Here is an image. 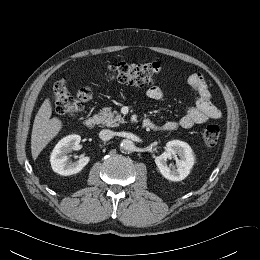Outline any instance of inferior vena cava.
<instances>
[{
	"instance_id": "1",
	"label": "inferior vena cava",
	"mask_w": 260,
	"mask_h": 260,
	"mask_svg": "<svg viewBox=\"0 0 260 260\" xmlns=\"http://www.w3.org/2000/svg\"><path fill=\"white\" fill-rule=\"evenodd\" d=\"M99 137L103 141H108V140H110L114 137V132L112 130H109V129H103V130L100 131Z\"/></svg>"
}]
</instances>
